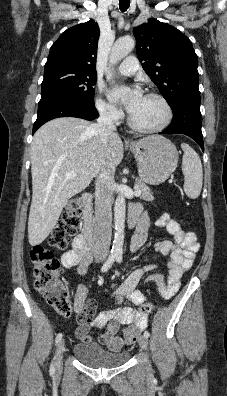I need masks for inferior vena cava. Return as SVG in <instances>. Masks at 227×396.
<instances>
[{
	"instance_id": "inferior-vena-cava-1",
	"label": "inferior vena cava",
	"mask_w": 227,
	"mask_h": 396,
	"mask_svg": "<svg viewBox=\"0 0 227 396\" xmlns=\"http://www.w3.org/2000/svg\"><path fill=\"white\" fill-rule=\"evenodd\" d=\"M104 145L108 136L116 130L113 116L106 110L100 111V116L94 126ZM115 168L105 166L96 179L95 191V226L93 236L94 256L105 257L109 253L112 235V190L114 185Z\"/></svg>"
}]
</instances>
